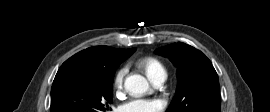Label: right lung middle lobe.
Returning <instances> with one entry per match:
<instances>
[{"label":"right lung middle lobe","mask_w":270,"mask_h":112,"mask_svg":"<svg viewBox=\"0 0 270 112\" xmlns=\"http://www.w3.org/2000/svg\"><path fill=\"white\" fill-rule=\"evenodd\" d=\"M118 66L104 69L63 63L53 81L50 112H106Z\"/></svg>","instance_id":"dd1d6c3e"}]
</instances>
